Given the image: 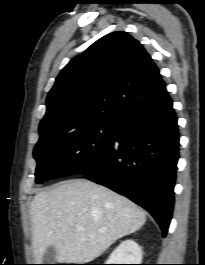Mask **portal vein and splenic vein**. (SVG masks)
Listing matches in <instances>:
<instances>
[{"label":"portal vein and splenic vein","instance_id":"obj_1","mask_svg":"<svg viewBox=\"0 0 205 265\" xmlns=\"http://www.w3.org/2000/svg\"><path fill=\"white\" fill-rule=\"evenodd\" d=\"M77 229H78V230H80V231H81V230H83V228H82V227H78Z\"/></svg>","mask_w":205,"mask_h":265}]
</instances>
